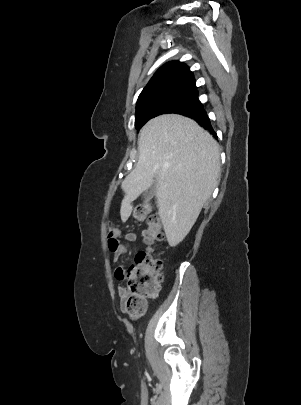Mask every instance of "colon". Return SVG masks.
<instances>
[{
	"label": "colon",
	"mask_w": 301,
	"mask_h": 405,
	"mask_svg": "<svg viewBox=\"0 0 301 405\" xmlns=\"http://www.w3.org/2000/svg\"><path fill=\"white\" fill-rule=\"evenodd\" d=\"M133 217L138 221L146 220L147 225L143 231L146 244L152 246L163 240L164 230L159 215L154 212L153 206L141 203L133 210ZM119 230L110 225L108 230V245L113 251L118 244ZM162 261L154 250L149 247L136 254L134 264L129 268L126 293L121 306L128 316L136 320L145 311L147 300L157 295L161 284Z\"/></svg>",
	"instance_id": "colon-1"
}]
</instances>
